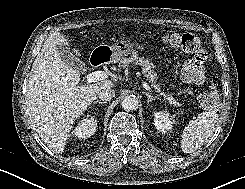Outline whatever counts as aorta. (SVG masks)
I'll use <instances>...</instances> for the list:
<instances>
[{"label":"aorta","mask_w":245,"mask_h":189,"mask_svg":"<svg viewBox=\"0 0 245 189\" xmlns=\"http://www.w3.org/2000/svg\"><path fill=\"white\" fill-rule=\"evenodd\" d=\"M138 99L134 95H127L123 98L121 105L126 111H134L138 108Z\"/></svg>","instance_id":"obj_1"}]
</instances>
